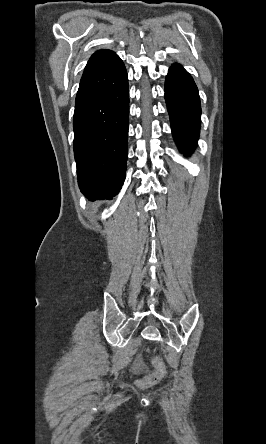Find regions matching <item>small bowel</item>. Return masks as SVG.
Wrapping results in <instances>:
<instances>
[{"label":"small bowel","instance_id":"small-bowel-1","mask_svg":"<svg viewBox=\"0 0 266 444\" xmlns=\"http://www.w3.org/2000/svg\"><path fill=\"white\" fill-rule=\"evenodd\" d=\"M141 368V360L140 359H137V361H136V363H135V367H134V369L135 370H139Z\"/></svg>","mask_w":266,"mask_h":444}]
</instances>
